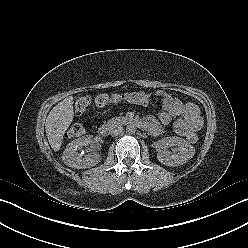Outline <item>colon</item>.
Here are the masks:
<instances>
[{"label": "colon", "instance_id": "obj_1", "mask_svg": "<svg viewBox=\"0 0 248 248\" xmlns=\"http://www.w3.org/2000/svg\"><path fill=\"white\" fill-rule=\"evenodd\" d=\"M121 98L122 96L120 94H114V95L102 94L96 97L95 104L101 107L109 103L115 102L117 100H120ZM90 103L91 100L89 97L87 96L78 97L75 101V113L78 116L83 115L87 111ZM83 134H84V128L80 124H73L67 131V137L69 138H79ZM197 140H198V136L196 133L191 134L188 138V141L190 143H195Z\"/></svg>", "mask_w": 248, "mask_h": 248}]
</instances>
